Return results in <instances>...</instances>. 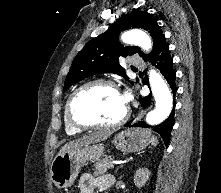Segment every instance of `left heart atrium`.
<instances>
[{"label":"left heart atrium","instance_id":"1","mask_svg":"<svg viewBox=\"0 0 221 193\" xmlns=\"http://www.w3.org/2000/svg\"><path fill=\"white\" fill-rule=\"evenodd\" d=\"M122 98H123L124 103L127 105V103L130 100V95L128 93L122 94Z\"/></svg>","mask_w":221,"mask_h":193}]
</instances>
